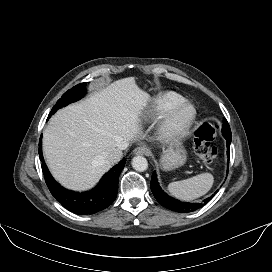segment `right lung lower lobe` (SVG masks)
Returning a JSON list of instances; mask_svg holds the SVG:
<instances>
[{"label":"right lung lower lobe","mask_w":272,"mask_h":272,"mask_svg":"<svg viewBox=\"0 0 272 272\" xmlns=\"http://www.w3.org/2000/svg\"><path fill=\"white\" fill-rule=\"evenodd\" d=\"M41 145L42 137L38 151L46 184L52 195L63 207L79 215H89L107 208L116 199L119 174L124 168L125 159H122L109 170L94 189L79 193L65 189L54 180L44 163Z\"/></svg>","instance_id":"right-lung-lower-lobe-1"}]
</instances>
